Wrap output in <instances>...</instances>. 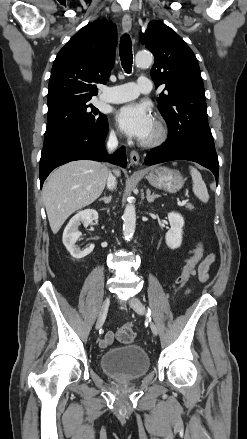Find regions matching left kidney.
<instances>
[{"label": "left kidney", "instance_id": "5707ae66", "mask_svg": "<svg viewBox=\"0 0 247 439\" xmlns=\"http://www.w3.org/2000/svg\"><path fill=\"white\" fill-rule=\"evenodd\" d=\"M168 220L171 228L165 235L166 244L170 249H176L182 244L184 219L180 214L170 212Z\"/></svg>", "mask_w": 247, "mask_h": 439}]
</instances>
